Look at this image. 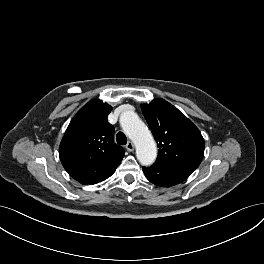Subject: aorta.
Wrapping results in <instances>:
<instances>
[{"mask_svg":"<svg viewBox=\"0 0 264 264\" xmlns=\"http://www.w3.org/2000/svg\"><path fill=\"white\" fill-rule=\"evenodd\" d=\"M120 124L125 134L136 145V156L142 165L149 166L157 157L154 138L138 115L132 111L121 114Z\"/></svg>","mask_w":264,"mask_h":264,"instance_id":"762f6f07","label":"aorta"}]
</instances>
